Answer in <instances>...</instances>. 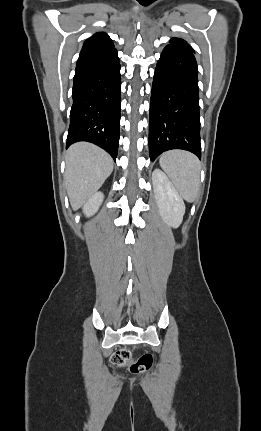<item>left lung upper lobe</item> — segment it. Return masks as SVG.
Returning <instances> with one entry per match:
<instances>
[{
    "label": "left lung upper lobe",
    "instance_id": "obj_1",
    "mask_svg": "<svg viewBox=\"0 0 261 431\" xmlns=\"http://www.w3.org/2000/svg\"><path fill=\"white\" fill-rule=\"evenodd\" d=\"M170 42H171V45H173V46H177V47L184 48V49H187L189 51L194 52L193 48L183 39L172 38Z\"/></svg>",
    "mask_w": 261,
    "mask_h": 431
}]
</instances>
